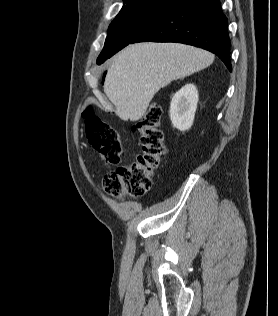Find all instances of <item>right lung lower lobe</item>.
<instances>
[{"label": "right lung lower lobe", "instance_id": "98d812e1", "mask_svg": "<svg viewBox=\"0 0 278 316\" xmlns=\"http://www.w3.org/2000/svg\"><path fill=\"white\" fill-rule=\"evenodd\" d=\"M227 18L219 0H169L131 42H178L216 54L231 71Z\"/></svg>", "mask_w": 278, "mask_h": 316}]
</instances>
